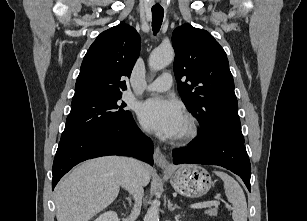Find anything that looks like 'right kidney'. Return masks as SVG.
I'll return each instance as SVG.
<instances>
[{"mask_svg":"<svg viewBox=\"0 0 307 221\" xmlns=\"http://www.w3.org/2000/svg\"><path fill=\"white\" fill-rule=\"evenodd\" d=\"M94 221H119V220L116 212L108 211L101 214Z\"/></svg>","mask_w":307,"mask_h":221,"instance_id":"obj_1","label":"right kidney"}]
</instances>
